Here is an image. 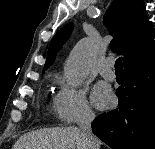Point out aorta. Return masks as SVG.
I'll list each match as a JSON object with an SVG mask.
<instances>
[{
	"label": "aorta",
	"instance_id": "obj_1",
	"mask_svg": "<svg viewBox=\"0 0 155 149\" xmlns=\"http://www.w3.org/2000/svg\"><path fill=\"white\" fill-rule=\"evenodd\" d=\"M94 56L92 40L82 39L75 45L64 66L65 77L72 86H79L86 79Z\"/></svg>",
	"mask_w": 155,
	"mask_h": 149
}]
</instances>
